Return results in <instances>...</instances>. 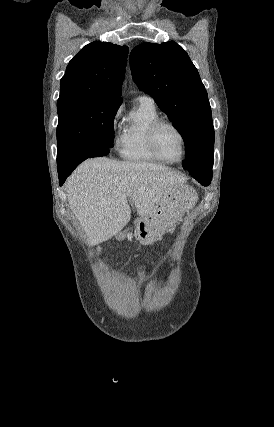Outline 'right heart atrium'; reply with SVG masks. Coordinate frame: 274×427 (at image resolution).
<instances>
[{
  "mask_svg": "<svg viewBox=\"0 0 274 427\" xmlns=\"http://www.w3.org/2000/svg\"><path fill=\"white\" fill-rule=\"evenodd\" d=\"M118 113L114 115L112 122H111V128H112V133L115 134L117 132L118 129V125H117V118H118Z\"/></svg>",
  "mask_w": 274,
  "mask_h": 427,
  "instance_id": "1",
  "label": "right heart atrium"
}]
</instances>
